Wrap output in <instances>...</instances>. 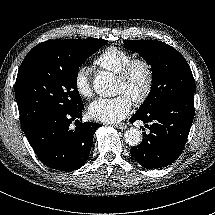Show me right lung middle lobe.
<instances>
[{
	"mask_svg": "<svg viewBox=\"0 0 215 215\" xmlns=\"http://www.w3.org/2000/svg\"><path fill=\"white\" fill-rule=\"evenodd\" d=\"M106 40H54L22 62L15 82L21 125L47 111H76L78 68Z\"/></svg>",
	"mask_w": 215,
	"mask_h": 215,
	"instance_id": "obj_1",
	"label": "right lung middle lobe"
}]
</instances>
